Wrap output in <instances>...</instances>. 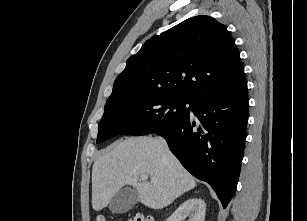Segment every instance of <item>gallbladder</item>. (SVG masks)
<instances>
[{
  "mask_svg": "<svg viewBox=\"0 0 307 221\" xmlns=\"http://www.w3.org/2000/svg\"><path fill=\"white\" fill-rule=\"evenodd\" d=\"M137 191L131 188H121L109 203V210L115 214H122L130 210L137 202Z\"/></svg>",
  "mask_w": 307,
  "mask_h": 221,
  "instance_id": "gallbladder-1",
  "label": "gallbladder"
}]
</instances>
